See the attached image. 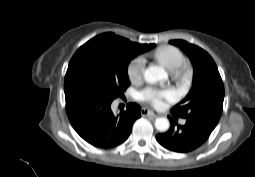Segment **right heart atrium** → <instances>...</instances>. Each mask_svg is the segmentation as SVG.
<instances>
[{"instance_id":"d8ad5b80","label":"right heart atrium","mask_w":255,"mask_h":177,"mask_svg":"<svg viewBox=\"0 0 255 177\" xmlns=\"http://www.w3.org/2000/svg\"><path fill=\"white\" fill-rule=\"evenodd\" d=\"M146 60L143 56L139 55L134 57L128 64V75L132 82H140L143 78L145 71Z\"/></svg>"}]
</instances>
